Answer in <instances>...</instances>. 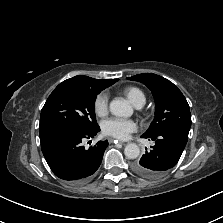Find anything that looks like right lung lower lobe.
<instances>
[{"mask_svg":"<svg viewBox=\"0 0 223 223\" xmlns=\"http://www.w3.org/2000/svg\"><path fill=\"white\" fill-rule=\"evenodd\" d=\"M99 131V127L85 131L62 126L41 132V149L53 173L73 184L88 181L99 168L108 142L99 141L86 149L82 140L93 138Z\"/></svg>","mask_w":223,"mask_h":223,"instance_id":"right-lung-lower-lobe-1","label":"right lung lower lobe"}]
</instances>
